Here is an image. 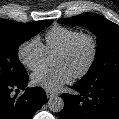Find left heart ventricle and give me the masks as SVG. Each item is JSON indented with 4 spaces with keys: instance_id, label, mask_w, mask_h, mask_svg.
Returning a JSON list of instances; mask_svg holds the SVG:
<instances>
[{
    "instance_id": "left-heart-ventricle-1",
    "label": "left heart ventricle",
    "mask_w": 119,
    "mask_h": 119,
    "mask_svg": "<svg viewBox=\"0 0 119 119\" xmlns=\"http://www.w3.org/2000/svg\"><path fill=\"white\" fill-rule=\"evenodd\" d=\"M90 56V45L87 41H82L69 56L58 55L55 65L69 69L73 75L79 72L87 63Z\"/></svg>"
}]
</instances>
